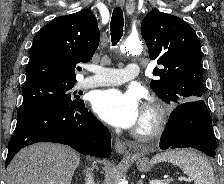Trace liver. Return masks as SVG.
Masks as SVG:
<instances>
[{
  "instance_id": "1",
  "label": "liver",
  "mask_w": 224,
  "mask_h": 184,
  "mask_svg": "<svg viewBox=\"0 0 224 184\" xmlns=\"http://www.w3.org/2000/svg\"><path fill=\"white\" fill-rule=\"evenodd\" d=\"M80 155L56 143H37L19 151L7 168V184H71Z\"/></svg>"
}]
</instances>
